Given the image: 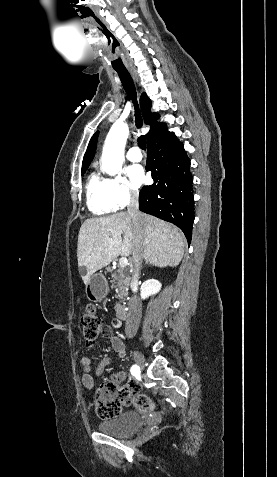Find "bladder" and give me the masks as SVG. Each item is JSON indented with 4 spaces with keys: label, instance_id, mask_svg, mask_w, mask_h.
Wrapping results in <instances>:
<instances>
[{
    "label": "bladder",
    "instance_id": "obj_1",
    "mask_svg": "<svg viewBox=\"0 0 277 477\" xmlns=\"http://www.w3.org/2000/svg\"><path fill=\"white\" fill-rule=\"evenodd\" d=\"M142 425L143 419L138 412L124 411L113 418L101 421L98 429L107 435L123 437L138 431Z\"/></svg>",
    "mask_w": 277,
    "mask_h": 477
}]
</instances>
